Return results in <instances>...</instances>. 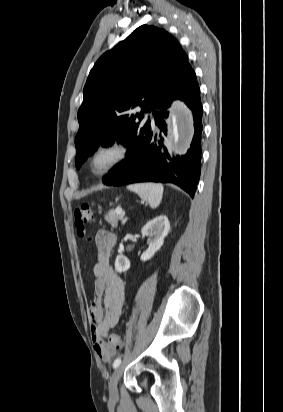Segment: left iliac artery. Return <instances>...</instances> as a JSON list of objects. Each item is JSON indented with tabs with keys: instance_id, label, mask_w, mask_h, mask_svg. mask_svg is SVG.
Wrapping results in <instances>:
<instances>
[{
	"instance_id": "1",
	"label": "left iliac artery",
	"mask_w": 283,
	"mask_h": 412,
	"mask_svg": "<svg viewBox=\"0 0 283 412\" xmlns=\"http://www.w3.org/2000/svg\"><path fill=\"white\" fill-rule=\"evenodd\" d=\"M120 364H121V359H120V358H117V359L113 362V368H117Z\"/></svg>"
}]
</instances>
